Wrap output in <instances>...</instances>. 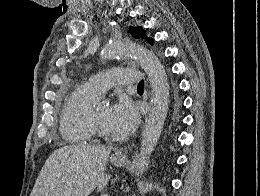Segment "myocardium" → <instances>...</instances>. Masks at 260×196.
Wrapping results in <instances>:
<instances>
[{"label": "myocardium", "instance_id": "1", "mask_svg": "<svg viewBox=\"0 0 260 196\" xmlns=\"http://www.w3.org/2000/svg\"><path fill=\"white\" fill-rule=\"evenodd\" d=\"M89 125L92 128L94 132H96L98 135L105 137L106 139H111V134L107 130H105L102 126L99 125V123L96 120L95 116V106L92 107L90 116H89Z\"/></svg>", "mask_w": 260, "mask_h": 196}]
</instances>
